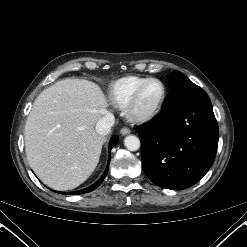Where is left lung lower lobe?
<instances>
[{"instance_id": "left-lung-lower-lobe-1", "label": "left lung lower lobe", "mask_w": 247, "mask_h": 247, "mask_svg": "<svg viewBox=\"0 0 247 247\" xmlns=\"http://www.w3.org/2000/svg\"><path fill=\"white\" fill-rule=\"evenodd\" d=\"M137 131L143 170L160 187L194 185L215 159L218 126L211 101L199 86L171 92L161 112Z\"/></svg>"}]
</instances>
